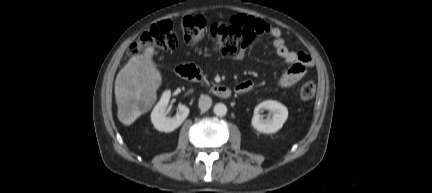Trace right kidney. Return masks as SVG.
Listing matches in <instances>:
<instances>
[{
  "instance_id": "ca27d5eb",
  "label": "right kidney",
  "mask_w": 432,
  "mask_h": 193,
  "mask_svg": "<svg viewBox=\"0 0 432 193\" xmlns=\"http://www.w3.org/2000/svg\"><path fill=\"white\" fill-rule=\"evenodd\" d=\"M170 96V91H165L151 113V121L154 127L161 132H172L177 129L185 121L190 112L187 106L180 105L175 116L167 117L166 108L168 106Z\"/></svg>"
}]
</instances>
